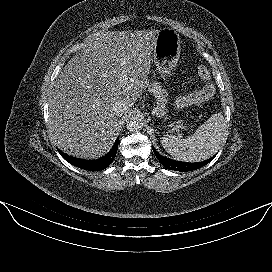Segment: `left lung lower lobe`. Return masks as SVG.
I'll return each mask as SVG.
<instances>
[{"label":"left lung lower lobe","mask_w":272,"mask_h":272,"mask_svg":"<svg viewBox=\"0 0 272 272\" xmlns=\"http://www.w3.org/2000/svg\"><path fill=\"white\" fill-rule=\"evenodd\" d=\"M155 156L158 158L160 163L169 170H175V171H181V172H187V171H192L199 169L206 164H208L215 156L212 158L199 162V163H184V162H179L175 160L168 159L166 157L161 156L154 148H153Z\"/></svg>","instance_id":"left-lung-lower-lobe-1"}]
</instances>
